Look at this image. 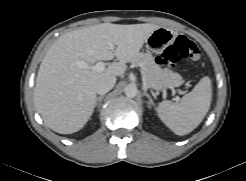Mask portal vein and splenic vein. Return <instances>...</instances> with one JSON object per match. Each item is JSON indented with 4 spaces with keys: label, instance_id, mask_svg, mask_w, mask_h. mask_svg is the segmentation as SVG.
<instances>
[{
    "label": "portal vein and splenic vein",
    "instance_id": "obj_1",
    "mask_svg": "<svg viewBox=\"0 0 246 181\" xmlns=\"http://www.w3.org/2000/svg\"><path fill=\"white\" fill-rule=\"evenodd\" d=\"M110 47H111V49H114V46L112 44L110 45ZM77 65L80 66V67H84V68L87 67V64L85 62H83V61H78ZM105 65L106 64L104 62L99 61L94 66H92V69L97 71V72H101V71H103L105 69ZM176 99H177V101H179L178 97Z\"/></svg>",
    "mask_w": 246,
    "mask_h": 181
}]
</instances>
